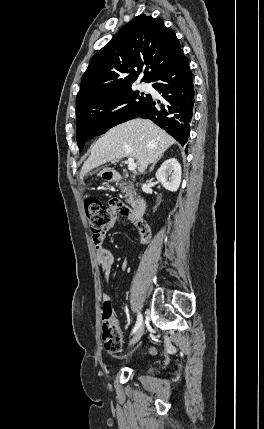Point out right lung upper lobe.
I'll return each mask as SVG.
<instances>
[{
  "instance_id": "cb5924a9",
  "label": "right lung upper lobe",
  "mask_w": 264,
  "mask_h": 429,
  "mask_svg": "<svg viewBox=\"0 0 264 429\" xmlns=\"http://www.w3.org/2000/svg\"><path fill=\"white\" fill-rule=\"evenodd\" d=\"M181 45L161 19L141 14L91 59L85 71L76 107L127 88L142 72V81L153 78L180 52Z\"/></svg>"
}]
</instances>
